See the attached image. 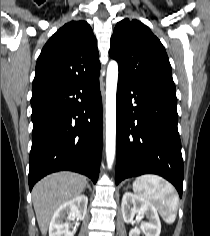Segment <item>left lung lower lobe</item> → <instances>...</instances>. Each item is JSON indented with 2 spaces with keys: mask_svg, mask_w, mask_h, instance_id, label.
I'll return each mask as SVG.
<instances>
[{
  "mask_svg": "<svg viewBox=\"0 0 210 236\" xmlns=\"http://www.w3.org/2000/svg\"><path fill=\"white\" fill-rule=\"evenodd\" d=\"M177 122L175 90L118 78L116 184L153 173L170 181L182 197L184 165Z\"/></svg>",
  "mask_w": 210,
  "mask_h": 236,
  "instance_id": "0a47b994",
  "label": "left lung lower lobe"
}]
</instances>
